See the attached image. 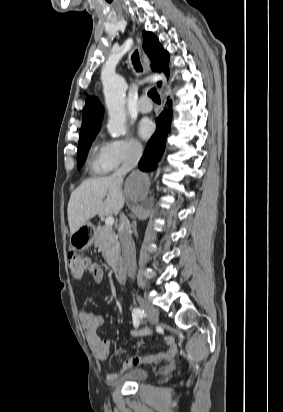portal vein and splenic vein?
I'll use <instances>...</instances> for the list:
<instances>
[{
	"instance_id": "18ae733b",
	"label": "portal vein and splenic vein",
	"mask_w": 283,
	"mask_h": 412,
	"mask_svg": "<svg viewBox=\"0 0 283 412\" xmlns=\"http://www.w3.org/2000/svg\"><path fill=\"white\" fill-rule=\"evenodd\" d=\"M114 224V218L113 217H107L105 219V225L107 227H111Z\"/></svg>"
}]
</instances>
